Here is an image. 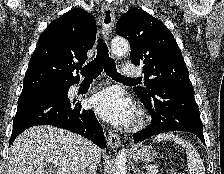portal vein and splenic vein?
<instances>
[{"label": "portal vein and splenic vein", "instance_id": "1", "mask_svg": "<svg viewBox=\"0 0 224 174\" xmlns=\"http://www.w3.org/2000/svg\"><path fill=\"white\" fill-rule=\"evenodd\" d=\"M159 172L158 169H156V167H153L152 169L148 170V174H157Z\"/></svg>", "mask_w": 224, "mask_h": 174}]
</instances>
